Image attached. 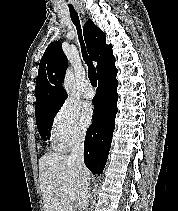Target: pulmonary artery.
Instances as JSON below:
<instances>
[{
    "label": "pulmonary artery",
    "mask_w": 178,
    "mask_h": 211,
    "mask_svg": "<svg viewBox=\"0 0 178 211\" xmlns=\"http://www.w3.org/2000/svg\"><path fill=\"white\" fill-rule=\"evenodd\" d=\"M82 94L86 98H91L94 95L93 86L90 81H85L82 86Z\"/></svg>",
    "instance_id": "1"
}]
</instances>
